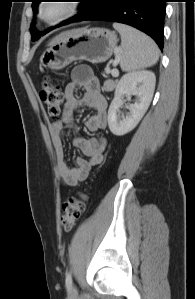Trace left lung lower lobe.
<instances>
[{"label":"left lung lower lobe","instance_id":"1","mask_svg":"<svg viewBox=\"0 0 195 299\" xmlns=\"http://www.w3.org/2000/svg\"><path fill=\"white\" fill-rule=\"evenodd\" d=\"M167 0H90V6L76 19L112 21L133 26L163 48V26Z\"/></svg>","mask_w":195,"mask_h":299}]
</instances>
